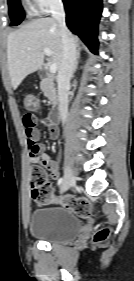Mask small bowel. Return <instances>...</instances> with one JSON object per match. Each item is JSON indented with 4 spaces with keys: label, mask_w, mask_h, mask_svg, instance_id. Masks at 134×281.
I'll use <instances>...</instances> for the list:
<instances>
[{
    "label": "small bowel",
    "mask_w": 134,
    "mask_h": 281,
    "mask_svg": "<svg viewBox=\"0 0 134 281\" xmlns=\"http://www.w3.org/2000/svg\"><path fill=\"white\" fill-rule=\"evenodd\" d=\"M23 124L28 142L31 164L34 167H41L48 170L51 179L57 180L59 177L58 163L45 153L46 146L39 142L40 131L38 125H46L52 139H56L58 136L57 128L30 112L23 115Z\"/></svg>",
    "instance_id": "1"
}]
</instances>
